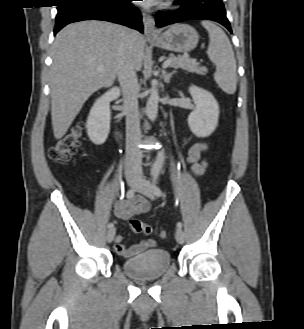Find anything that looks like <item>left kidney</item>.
Returning <instances> with one entry per match:
<instances>
[{
    "instance_id": "1",
    "label": "left kidney",
    "mask_w": 304,
    "mask_h": 329,
    "mask_svg": "<svg viewBox=\"0 0 304 329\" xmlns=\"http://www.w3.org/2000/svg\"><path fill=\"white\" fill-rule=\"evenodd\" d=\"M189 93L195 104L187 119L190 130L197 137H208L218 125V102L210 92L194 85L189 87Z\"/></svg>"
}]
</instances>
